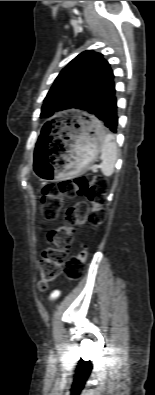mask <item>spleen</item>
<instances>
[{
    "instance_id": "1",
    "label": "spleen",
    "mask_w": 155,
    "mask_h": 395,
    "mask_svg": "<svg viewBox=\"0 0 155 395\" xmlns=\"http://www.w3.org/2000/svg\"><path fill=\"white\" fill-rule=\"evenodd\" d=\"M101 170L105 176H111L114 172L117 160V144L112 134H105L104 142L101 147Z\"/></svg>"
}]
</instances>
